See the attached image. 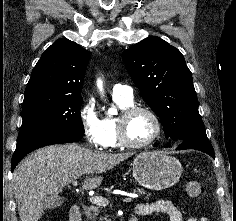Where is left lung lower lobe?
<instances>
[{"mask_svg":"<svg viewBox=\"0 0 236 221\" xmlns=\"http://www.w3.org/2000/svg\"><path fill=\"white\" fill-rule=\"evenodd\" d=\"M179 144L178 150L196 149L214 157V150L207 136H192L179 141Z\"/></svg>","mask_w":236,"mask_h":221,"instance_id":"1","label":"left lung lower lobe"}]
</instances>
